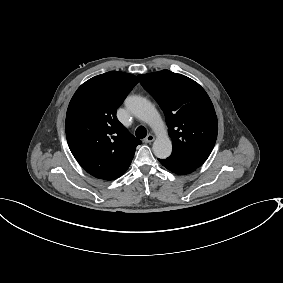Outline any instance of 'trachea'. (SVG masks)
Instances as JSON below:
<instances>
[{"label":"trachea","mask_w":283,"mask_h":283,"mask_svg":"<svg viewBox=\"0 0 283 283\" xmlns=\"http://www.w3.org/2000/svg\"><path fill=\"white\" fill-rule=\"evenodd\" d=\"M136 137L145 138L147 135V130L144 126H139L135 131Z\"/></svg>","instance_id":"1"}]
</instances>
